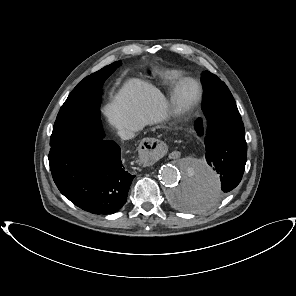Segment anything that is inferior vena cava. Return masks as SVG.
<instances>
[{"instance_id": "602c4592", "label": "inferior vena cava", "mask_w": 296, "mask_h": 296, "mask_svg": "<svg viewBox=\"0 0 296 296\" xmlns=\"http://www.w3.org/2000/svg\"><path fill=\"white\" fill-rule=\"evenodd\" d=\"M140 130L141 129L139 127L129 126L126 128L119 129L118 134L123 140H128L133 138L135 136V132H138Z\"/></svg>"}]
</instances>
